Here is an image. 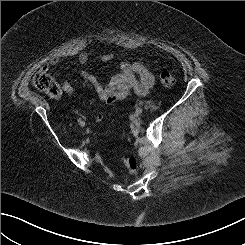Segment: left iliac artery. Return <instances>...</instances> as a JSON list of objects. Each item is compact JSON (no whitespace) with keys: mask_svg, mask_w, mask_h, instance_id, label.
Returning a JSON list of instances; mask_svg holds the SVG:
<instances>
[{"mask_svg":"<svg viewBox=\"0 0 245 245\" xmlns=\"http://www.w3.org/2000/svg\"><path fill=\"white\" fill-rule=\"evenodd\" d=\"M144 103L142 101H139V105H143Z\"/></svg>","mask_w":245,"mask_h":245,"instance_id":"left-iliac-artery-1","label":"left iliac artery"}]
</instances>
